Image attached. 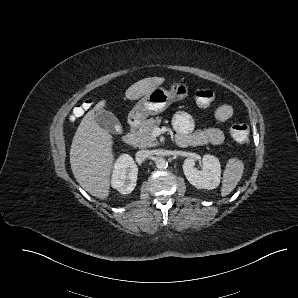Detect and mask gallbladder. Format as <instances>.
<instances>
[{"instance_id": "bac80fb5", "label": "gallbladder", "mask_w": 298, "mask_h": 298, "mask_svg": "<svg viewBox=\"0 0 298 298\" xmlns=\"http://www.w3.org/2000/svg\"><path fill=\"white\" fill-rule=\"evenodd\" d=\"M95 116L99 125L107 131H112L118 124L117 118L109 111L99 110Z\"/></svg>"}]
</instances>
